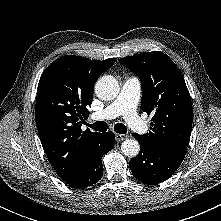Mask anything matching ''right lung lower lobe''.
Here are the masks:
<instances>
[{
    "label": "right lung lower lobe",
    "mask_w": 221,
    "mask_h": 221,
    "mask_svg": "<svg viewBox=\"0 0 221 221\" xmlns=\"http://www.w3.org/2000/svg\"><path fill=\"white\" fill-rule=\"evenodd\" d=\"M115 143L113 132L100 133L93 143V149L80 173L66 183L75 189H83L97 183L103 174L102 156L109 152Z\"/></svg>",
    "instance_id": "obj_1"
}]
</instances>
